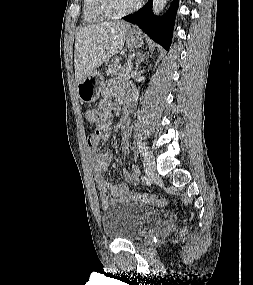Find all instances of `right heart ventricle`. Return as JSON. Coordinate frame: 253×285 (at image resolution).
I'll list each match as a JSON object with an SVG mask.
<instances>
[{
  "label": "right heart ventricle",
  "mask_w": 253,
  "mask_h": 285,
  "mask_svg": "<svg viewBox=\"0 0 253 285\" xmlns=\"http://www.w3.org/2000/svg\"><path fill=\"white\" fill-rule=\"evenodd\" d=\"M83 18L87 23H99L108 19L97 10L95 0H83Z\"/></svg>",
  "instance_id": "1"
}]
</instances>
